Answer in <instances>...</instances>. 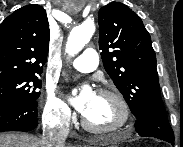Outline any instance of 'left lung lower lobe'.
<instances>
[{
  "label": "left lung lower lobe",
  "instance_id": "obj_1",
  "mask_svg": "<svg viewBox=\"0 0 183 147\" xmlns=\"http://www.w3.org/2000/svg\"><path fill=\"white\" fill-rule=\"evenodd\" d=\"M136 132L143 137H155L174 145V133L167 116L162 114H146L137 118Z\"/></svg>",
  "mask_w": 183,
  "mask_h": 147
}]
</instances>
